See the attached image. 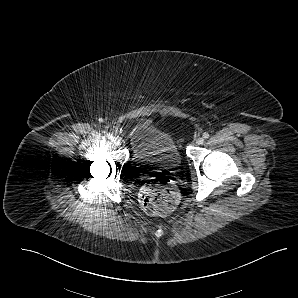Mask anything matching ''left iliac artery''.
<instances>
[{
	"instance_id": "left-iliac-artery-1",
	"label": "left iliac artery",
	"mask_w": 298,
	"mask_h": 298,
	"mask_svg": "<svg viewBox=\"0 0 298 298\" xmlns=\"http://www.w3.org/2000/svg\"><path fill=\"white\" fill-rule=\"evenodd\" d=\"M209 136H210L209 133H207V132L203 133L204 138H209Z\"/></svg>"
}]
</instances>
